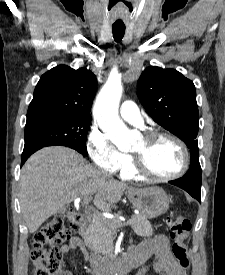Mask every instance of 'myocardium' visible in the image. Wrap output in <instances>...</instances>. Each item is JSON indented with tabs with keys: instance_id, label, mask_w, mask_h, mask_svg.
<instances>
[{
	"instance_id": "1",
	"label": "myocardium",
	"mask_w": 225,
	"mask_h": 275,
	"mask_svg": "<svg viewBox=\"0 0 225 275\" xmlns=\"http://www.w3.org/2000/svg\"><path fill=\"white\" fill-rule=\"evenodd\" d=\"M143 139L147 143H153L158 139H169V140L173 141L174 143H176L178 145V147L180 148V150L182 152L183 162H182V166L180 167V169L173 174L156 175L148 169L146 162H145V156L143 154L132 152L133 168H134L135 172L140 177L146 178L151 181H170V180L179 178L180 176L184 175L187 172V170L189 168V164H190V156H189L187 146L180 138H178L177 136H175L173 134L166 133V132L151 131V132L145 133L143 135Z\"/></svg>"
}]
</instances>
